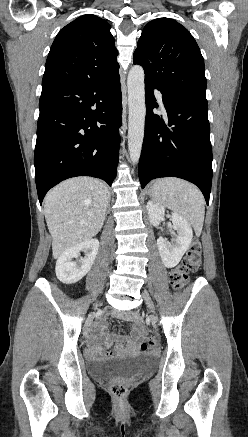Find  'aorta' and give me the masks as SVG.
Segmentation results:
<instances>
[{"label": "aorta", "mask_w": 248, "mask_h": 437, "mask_svg": "<svg viewBox=\"0 0 248 437\" xmlns=\"http://www.w3.org/2000/svg\"><path fill=\"white\" fill-rule=\"evenodd\" d=\"M128 150L131 162L137 164L142 150L145 128V90L144 70L141 66H133L128 74Z\"/></svg>", "instance_id": "obj_1"}]
</instances>
